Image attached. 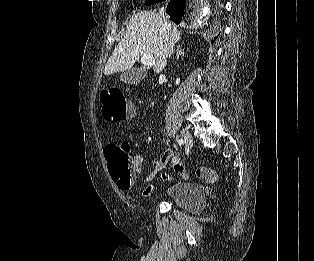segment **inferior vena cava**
<instances>
[{
    "instance_id": "602c4592",
    "label": "inferior vena cava",
    "mask_w": 314,
    "mask_h": 261,
    "mask_svg": "<svg viewBox=\"0 0 314 261\" xmlns=\"http://www.w3.org/2000/svg\"><path fill=\"white\" fill-rule=\"evenodd\" d=\"M160 15H164V8H161L159 11ZM168 24L165 22V27H167ZM175 43L171 37H169V41L167 42V49H168V55L167 57H171V55L174 52Z\"/></svg>"
}]
</instances>
